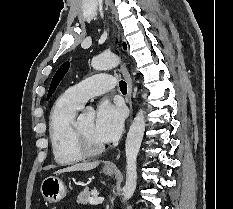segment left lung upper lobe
<instances>
[{"label": "left lung upper lobe", "instance_id": "left-lung-upper-lobe-1", "mask_svg": "<svg viewBox=\"0 0 233 209\" xmlns=\"http://www.w3.org/2000/svg\"><path fill=\"white\" fill-rule=\"evenodd\" d=\"M123 48L126 49L127 46L125 43H123ZM69 62H65L64 64H62L60 66V68L57 70V72L55 73L51 84H50V88L48 91V95H47V99H49L52 95V93L55 91L56 87L58 86V84L60 83V81L63 79V77L65 76V73L68 71L69 69Z\"/></svg>", "mask_w": 233, "mask_h": 209}]
</instances>
